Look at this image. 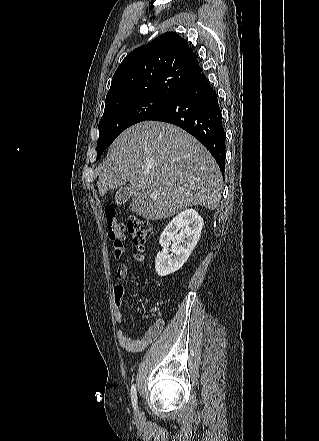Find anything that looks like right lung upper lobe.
I'll list each match as a JSON object with an SVG mask.
<instances>
[{"label": "right lung upper lobe", "mask_w": 319, "mask_h": 441, "mask_svg": "<svg viewBox=\"0 0 319 441\" xmlns=\"http://www.w3.org/2000/svg\"><path fill=\"white\" fill-rule=\"evenodd\" d=\"M200 74L199 62L187 41L175 32H166L124 58L112 78L105 109L147 96L172 99Z\"/></svg>", "instance_id": "1"}]
</instances>
